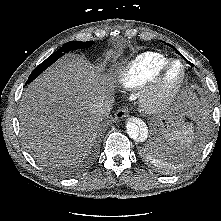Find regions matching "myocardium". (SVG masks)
I'll use <instances>...</instances> for the list:
<instances>
[{"instance_id": "f54148a6", "label": "myocardium", "mask_w": 221, "mask_h": 221, "mask_svg": "<svg viewBox=\"0 0 221 221\" xmlns=\"http://www.w3.org/2000/svg\"><path fill=\"white\" fill-rule=\"evenodd\" d=\"M180 65L181 74L176 86L167 91L165 89L166 79L170 70L175 65ZM187 79L185 64L179 59L170 60L148 84L143 92L140 104L144 111L148 113H157L169 107L179 96Z\"/></svg>"}]
</instances>
